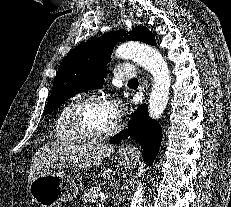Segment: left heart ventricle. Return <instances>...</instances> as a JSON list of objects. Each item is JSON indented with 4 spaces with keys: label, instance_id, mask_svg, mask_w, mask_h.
Wrapping results in <instances>:
<instances>
[{
    "label": "left heart ventricle",
    "instance_id": "b2bd125f",
    "mask_svg": "<svg viewBox=\"0 0 231 207\" xmlns=\"http://www.w3.org/2000/svg\"><path fill=\"white\" fill-rule=\"evenodd\" d=\"M80 120L90 132L96 134L108 131L114 125L116 118L108 104L91 103L82 108Z\"/></svg>",
    "mask_w": 231,
    "mask_h": 207
}]
</instances>
